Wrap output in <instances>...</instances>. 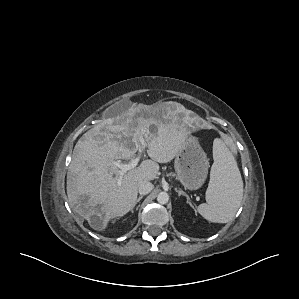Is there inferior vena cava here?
Returning <instances> with one entry per match:
<instances>
[{
    "mask_svg": "<svg viewBox=\"0 0 299 299\" xmlns=\"http://www.w3.org/2000/svg\"><path fill=\"white\" fill-rule=\"evenodd\" d=\"M153 190V184L147 180H141L138 182V192L141 195H146Z\"/></svg>",
    "mask_w": 299,
    "mask_h": 299,
    "instance_id": "602c4592",
    "label": "inferior vena cava"
}]
</instances>
